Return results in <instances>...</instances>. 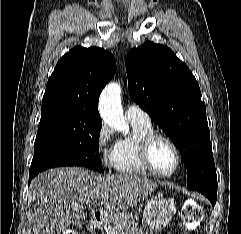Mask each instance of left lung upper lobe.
Returning <instances> with one entry per match:
<instances>
[{"label": "left lung upper lobe", "mask_w": 241, "mask_h": 234, "mask_svg": "<svg viewBox=\"0 0 241 234\" xmlns=\"http://www.w3.org/2000/svg\"><path fill=\"white\" fill-rule=\"evenodd\" d=\"M130 97L178 148L187 187L217 196V175L205 103L192 72L168 47L145 42L126 57Z\"/></svg>", "instance_id": "1"}]
</instances>
